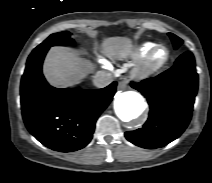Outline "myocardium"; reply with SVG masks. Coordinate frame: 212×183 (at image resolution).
<instances>
[{
	"label": "myocardium",
	"instance_id": "f54148a6",
	"mask_svg": "<svg viewBox=\"0 0 212 183\" xmlns=\"http://www.w3.org/2000/svg\"><path fill=\"white\" fill-rule=\"evenodd\" d=\"M161 48L166 51V57L163 61L154 63L153 55L156 50ZM170 58L171 54L169 48L165 45L157 44L139 60L136 66L132 69L131 75L139 81L148 79L163 69L169 63Z\"/></svg>",
	"mask_w": 212,
	"mask_h": 183
}]
</instances>
